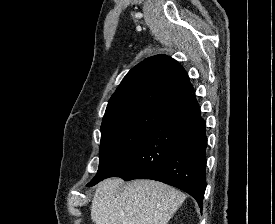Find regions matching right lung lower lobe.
<instances>
[{
	"label": "right lung lower lobe",
	"mask_w": 275,
	"mask_h": 224,
	"mask_svg": "<svg viewBox=\"0 0 275 224\" xmlns=\"http://www.w3.org/2000/svg\"><path fill=\"white\" fill-rule=\"evenodd\" d=\"M206 147V123L192 93L166 110L109 177L125 181L157 180L187 192L202 207L206 188Z\"/></svg>",
	"instance_id": "right-lung-lower-lobe-1"
}]
</instances>
